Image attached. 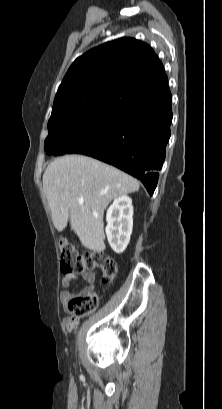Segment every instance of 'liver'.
<instances>
[{
  "mask_svg": "<svg viewBox=\"0 0 222 409\" xmlns=\"http://www.w3.org/2000/svg\"><path fill=\"white\" fill-rule=\"evenodd\" d=\"M139 182L119 169L83 155H65L50 163L43 174V189L55 228L70 221L82 245L105 250L103 215L116 197L139 190ZM84 203L79 204L78 198Z\"/></svg>",
  "mask_w": 222,
  "mask_h": 409,
  "instance_id": "obj_1",
  "label": "liver"
}]
</instances>
